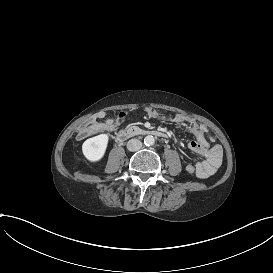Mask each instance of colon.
Here are the masks:
<instances>
[{"label":"colon","instance_id":"1","mask_svg":"<svg viewBox=\"0 0 273 273\" xmlns=\"http://www.w3.org/2000/svg\"><path fill=\"white\" fill-rule=\"evenodd\" d=\"M94 123H95V120H94V119H90V120L88 121V124H89V125H92V124H94ZM81 130H82V131H85V130H86V127H85V126H82V127H81Z\"/></svg>","mask_w":273,"mask_h":273}]
</instances>
